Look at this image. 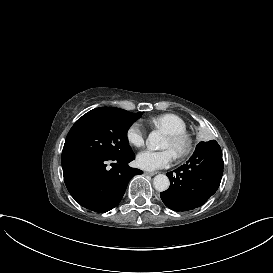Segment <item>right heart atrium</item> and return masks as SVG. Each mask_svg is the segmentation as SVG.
Masks as SVG:
<instances>
[{
    "instance_id": "d8ad5b80",
    "label": "right heart atrium",
    "mask_w": 273,
    "mask_h": 273,
    "mask_svg": "<svg viewBox=\"0 0 273 273\" xmlns=\"http://www.w3.org/2000/svg\"><path fill=\"white\" fill-rule=\"evenodd\" d=\"M146 131L143 126L134 122L129 125L126 131V137L130 144L134 146H142L145 142Z\"/></svg>"
}]
</instances>
